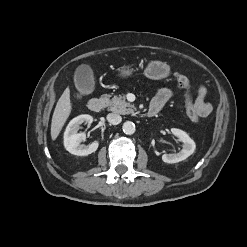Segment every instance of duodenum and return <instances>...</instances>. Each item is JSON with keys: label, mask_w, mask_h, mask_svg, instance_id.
Returning <instances> with one entry per match:
<instances>
[{"label": "duodenum", "mask_w": 247, "mask_h": 247, "mask_svg": "<svg viewBox=\"0 0 247 247\" xmlns=\"http://www.w3.org/2000/svg\"><path fill=\"white\" fill-rule=\"evenodd\" d=\"M107 104V100L104 97H94L89 100L88 107L92 112L102 111ZM156 114V111L153 109H148L145 113L146 117H153Z\"/></svg>", "instance_id": "duodenum-1"}]
</instances>
